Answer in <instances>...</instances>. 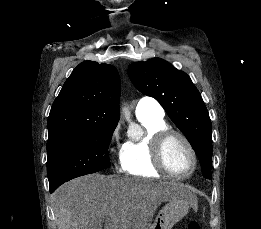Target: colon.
I'll return each mask as SVG.
<instances>
[{
    "label": "colon",
    "mask_w": 261,
    "mask_h": 229,
    "mask_svg": "<svg viewBox=\"0 0 261 229\" xmlns=\"http://www.w3.org/2000/svg\"><path fill=\"white\" fill-rule=\"evenodd\" d=\"M187 229H200V226L197 222H191L189 223Z\"/></svg>",
    "instance_id": "1"
}]
</instances>
